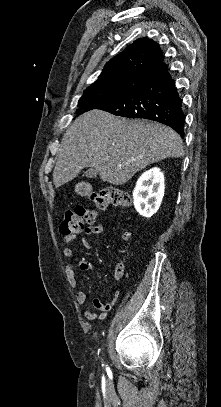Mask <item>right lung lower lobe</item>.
<instances>
[{
	"label": "right lung lower lobe",
	"instance_id": "98d812e1",
	"mask_svg": "<svg viewBox=\"0 0 221 407\" xmlns=\"http://www.w3.org/2000/svg\"><path fill=\"white\" fill-rule=\"evenodd\" d=\"M98 109L122 117L157 121L184 136L182 100L168 68L127 95Z\"/></svg>",
	"mask_w": 221,
	"mask_h": 407
}]
</instances>
